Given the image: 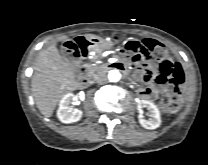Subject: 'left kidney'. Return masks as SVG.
<instances>
[{"label":"left kidney","mask_w":208,"mask_h":165,"mask_svg":"<svg viewBox=\"0 0 208 165\" xmlns=\"http://www.w3.org/2000/svg\"><path fill=\"white\" fill-rule=\"evenodd\" d=\"M137 108L140 113L138 117L139 123L142 127H144L145 129L153 130L160 126L161 124L160 111L158 110L157 106L154 103L147 100H140L138 101ZM142 108H147L150 111L151 119L149 120L144 119V117L141 114Z\"/></svg>","instance_id":"5707ae66"}]
</instances>
